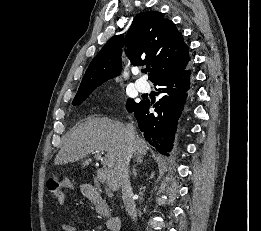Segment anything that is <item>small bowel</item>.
Returning <instances> with one entry per match:
<instances>
[{"label":"small bowel","instance_id":"1","mask_svg":"<svg viewBox=\"0 0 261 231\" xmlns=\"http://www.w3.org/2000/svg\"><path fill=\"white\" fill-rule=\"evenodd\" d=\"M62 230L63 231H76V228L71 224H63ZM85 231H88V230H85Z\"/></svg>","mask_w":261,"mask_h":231}]
</instances>
